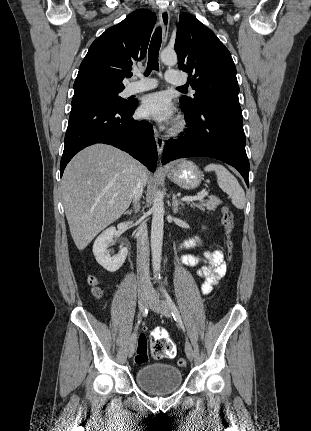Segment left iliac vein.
<instances>
[{"mask_svg":"<svg viewBox=\"0 0 311 431\" xmlns=\"http://www.w3.org/2000/svg\"><path fill=\"white\" fill-rule=\"evenodd\" d=\"M148 305L150 309L154 310L157 313H160L167 318L171 316V309L167 301L161 299L155 291H152ZM185 353L187 358L192 361L194 358V351L190 342L188 341L185 342Z\"/></svg>","mask_w":311,"mask_h":431,"instance_id":"1","label":"left iliac vein"}]
</instances>
